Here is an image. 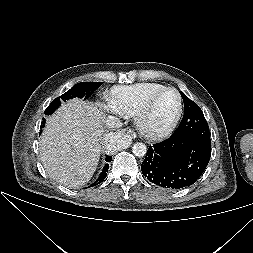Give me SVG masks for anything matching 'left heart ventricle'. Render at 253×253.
<instances>
[{"label":"left heart ventricle","instance_id":"left-heart-ventricle-1","mask_svg":"<svg viewBox=\"0 0 253 253\" xmlns=\"http://www.w3.org/2000/svg\"><path fill=\"white\" fill-rule=\"evenodd\" d=\"M177 96L172 91L161 94L153 102L144 118V125L150 130H159L165 127L175 116L177 111Z\"/></svg>","mask_w":253,"mask_h":253}]
</instances>
